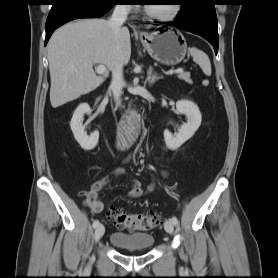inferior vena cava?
Here are the masks:
<instances>
[{"label":"inferior vena cava","instance_id":"602c4592","mask_svg":"<svg viewBox=\"0 0 278 278\" xmlns=\"http://www.w3.org/2000/svg\"><path fill=\"white\" fill-rule=\"evenodd\" d=\"M129 11L130 5H116L111 18L108 21L115 37H118L121 26L126 21ZM124 86L123 64L118 62L112 70V81L109 87L113 93V98L117 106L121 105V95Z\"/></svg>","mask_w":278,"mask_h":278}]
</instances>
